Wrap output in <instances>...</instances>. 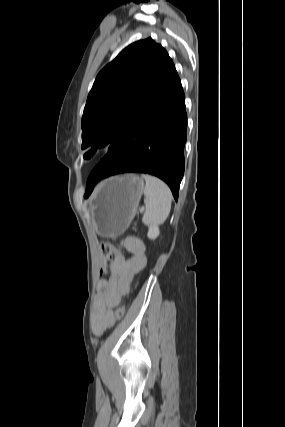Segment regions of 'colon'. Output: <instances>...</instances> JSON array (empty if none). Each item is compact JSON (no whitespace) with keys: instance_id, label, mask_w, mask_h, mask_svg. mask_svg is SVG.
Returning <instances> with one entry per match:
<instances>
[{"instance_id":"1","label":"colon","mask_w":285,"mask_h":427,"mask_svg":"<svg viewBox=\"0 0 285 427\" xmlns=\"http://www.w3.org/2000/svg\"><path fill=\"white\" fill-rule=\"evenodd\" d=\"M101 253V268L100 274L105 275L107 272L108 265L111 259L119 254L118 248L109 242H103L100 244ZM125 306L120 305L113 314V324L122 319L125 314Z\"/></svg>"}]
</instances>
